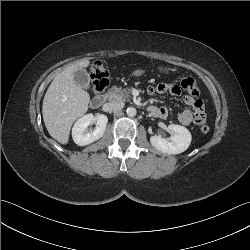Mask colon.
Here are the masks:
<instances>
[{"label": "colon", "mask_w": 250, "mask_h": 250, "mask_svg": "<svg viewBox=\"0 0 250 250\" xmlns=\"http://www.w3.org/2000/svg\"><path fill=\"white\" fill-rule=\"evenodd\" d=\"M92 89L95 93L102 92L109 84V72L102 62H94L91 66ZM180 90L186 91L190 96L196 97L199 95V88L196 81L190 76H180L178 78ZM210 130L208 125H202L201 131L208 133Z\"/></svg>", "instance_id": "obj_1"}]
</instances>
